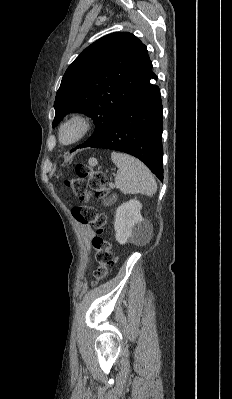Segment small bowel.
I'll list each match as a JSON object with an SVG mask.
<instances>
[{"label": "small bowel", "mask_w": 232, "mask_h": 399, "mask_svg": "<svg viewBox=\"0 0 232 399\" xmlns=\"http://www.w3.org/2000/svg\"><path fill=\"white\" fill-rule=\"evenodd\" d=\"M80 230L84 246L89 249L94 236L93 230L88 226H81Z\"/></svg>", "instance_id": "c3829d8e"}]
</instances>
